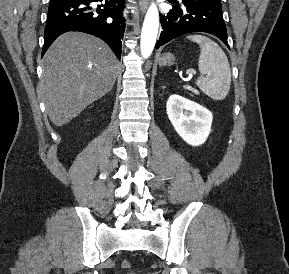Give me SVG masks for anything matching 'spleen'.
I'll use <instances>...</instances> for the list:
<instances>
[{"instance_id": "1", "label": "spleen", "mask_w": 289, "mask_h": 274, "mask_svg": "<svg viewBox=\"0 0 289 274\" xmlns=\"http://www.w3.org/2000/svg\"><path fill=\"white\" fill-rule=\"evenodd\" d=\"M187 39L200 46L198 67L200 77L196 85L215 100H223L230 90L231 70L228 59L221 47L203 35H189Z\"/></svg>"}]
</instances>
